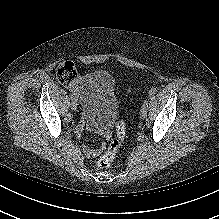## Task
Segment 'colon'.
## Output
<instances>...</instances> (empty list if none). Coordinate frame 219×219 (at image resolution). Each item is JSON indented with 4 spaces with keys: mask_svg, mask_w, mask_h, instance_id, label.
Masks as SVG:
<instances>
[{
    "mask_svg": "<svg viewBox=\"0 0 219 219\" xmlns=\"http://www.w3.org/2000/svg\"><path fill=\"white\" fill-rule=\"evenodd\" d=\"M77 69L74 63L70 61L61 62L56 68V78L59 82L65 85L73 84L77 79ZM115 138L111 139L107 150L97 160L98 168L103 169L110 166L116 153L126 137V123L118 121L115 125Z\"/></svg>",
    "mask_w": 219,
    "mask_h": 219,
    "instance_id": "obj_1",
    "label": "colon"
}]
</instances>
